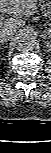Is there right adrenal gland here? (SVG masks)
<instances>
[{
    "mask_svg": "<svg viewBox=\"0 0 51 153\" xmlns=\"http://www.w3.org/2000/svg\"><path fill=\"white\" fill-rule=\"evenodd\" d=\"M4 42H6L5 40H1L0 43L3 44Z\"/></svg>",
    "mask_w": 51,
    "mask_h": 153,
    "instance_id": "right-adrenal-gland-1",
    "label": "right adrenal gland"
}]
</instances>
